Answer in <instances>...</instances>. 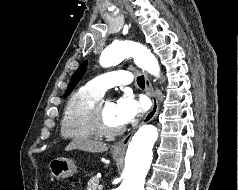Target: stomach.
Masks as SVG:
<instances>
[{"instance_id":"1","label":"stomach","mask_w":238,"mask_h":190,"mask_svg":"<svg viewBox=\"0 0 238 190\" xmlns=\"http://www.w3.org/2000/svg\"><path fill=\"white\" fill-rule=\"evenodd\" d=\"M114 157H119L121 154L112 151ZM49 170L56 179H65L72 176L76 172V166L71 159L57 157L50 161Z\"/></svg>"}]
</instances>
